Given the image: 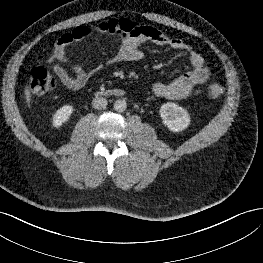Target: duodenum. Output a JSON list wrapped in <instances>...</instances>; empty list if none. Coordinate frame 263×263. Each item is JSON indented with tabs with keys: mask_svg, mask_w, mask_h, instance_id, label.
Masks as SVG:
<instances>
[{
	"mask_svg": "<svg viewBox=\"0 0 263 263\" xmlns=\"http://www.w3.org/2000/svg\"><path fill=\"white\" fill-rule=\"evenodd\" d=\"M98 95H114V96H121L124 92L120 89H113V90H102L97 92Z\"/></svg>",
	"mask_w": 263,
	"mask_h": 263,
	"instance_id": "410a0bca",
	"label": "duodenum"
}]
</instances>
